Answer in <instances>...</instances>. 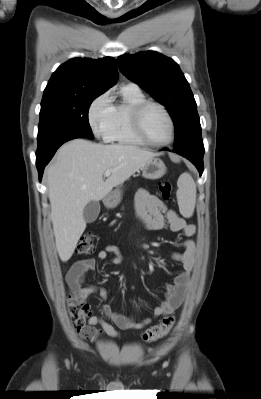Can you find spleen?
<instances>
[{"label":"spleen","mask_w":261,"mask_h":399,"mask_svg":"<svg viewBox=\"0 0 261 399\" xmlns=\"http://www.w3.org/2000/svg\"><path fill=\"white\" fill-rule=\"evenodd\" d=\"M177 201L180 213L185 218L193 215L196 204V185L189 173H183L177 182Z\"/></svg>","instance_id":"1"}]
</instances>
